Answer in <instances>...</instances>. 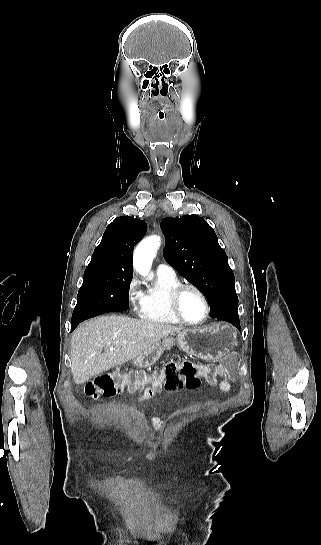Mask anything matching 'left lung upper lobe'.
<instances>
[{"instance_id":"5c2ea615","label":"left lung upper lobe","mask_w":321,"mask_h":545,"mask_svg":"<svg viewBox=\"0 0 321 545\" xmlns=\"http://www.w3.org/2000/svg\"><path fill=\"white\" fill-rule=\"evenodd\" d=\"M161 228L166 262L205 295L210 312L237 306L234 274L208 223L197 215H184L163 219Z\"/></svg>"}]
</instances>
